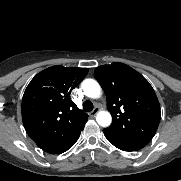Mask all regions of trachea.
<instances>
[{"instance_id":"1","label":"trachea","mask_w":181,"mask_h":181,"mask_svg":"<svg viewBox=\"0 0 181 181\" xmlns=\"http://www.w3.org/2000/svg\"><path fill=\"white\" fill-rule=\"evenodd\" d=\"M83 110H84L85 112H90V111H92V110H93V104H92V102H91V101H85V102L83 103Z\"/></svg>"}]
</instances>
